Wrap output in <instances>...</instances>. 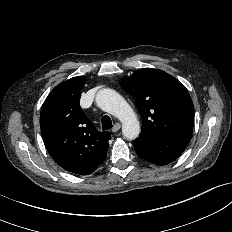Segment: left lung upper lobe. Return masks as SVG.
Wrapping results in <instances>:
<instances>
[{"mask_svg": "<svg viewBox=\"0 0 232 232\" xmlns=\"http://www.w3.org/2000/svg\"><path fill=\"white\" fill-rule=\"evenodd\" d=\"M142 117L141 138L191 139L194 106L185 86L162 70L143 68L120 81Z\"/></svg>", "mask_w": 232, "mask_h": 232, "instance_id": "left-lung-upper-lobe-1", "label": "left lung upper lobe"}]
</instances>
